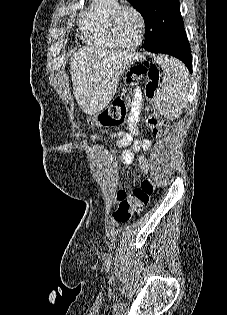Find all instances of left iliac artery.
<instances>
[{
  "label": "left iliac artery",
  "mask_w": 227,
  "mask_h": 315,
  "mask_svg": "<svg viewBox=\"0 0 227 315\" xmlns=\"http://www.w3.org/2000/svg\"><path fill=\"white\" fill-rule=\"evenodd\" d=\"M110 266H111V256L108 258V260L106 262L107 271L110 269Z\"/></svg>",
  "instance_id": "1"
}]
</instances>
